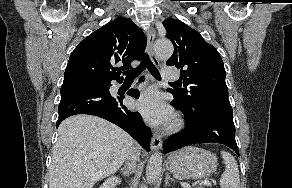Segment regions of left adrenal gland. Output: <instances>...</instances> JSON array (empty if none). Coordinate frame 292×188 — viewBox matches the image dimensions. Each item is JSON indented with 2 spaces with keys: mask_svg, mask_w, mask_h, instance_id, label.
I'll list each match as a JSON object with an SVG mask.
<instances>
[{
  "mask_svg": "<svg viewBox=\"0 0 292 188\" xmlns=\"http://www.w3.org/2000/svg\"><path fill=\"white\" fill-rule=\"evenodd\" d=\"M169 180L173 181V178H171L170 174L167 172L165 178V186H167Z\"/></svg>",
  "mask_w": 292,
  "mask_h": 188,
  "instance_id": "left-adrenal-gland-1",
  "label": "left adrenal gland"
}]
</instances>
